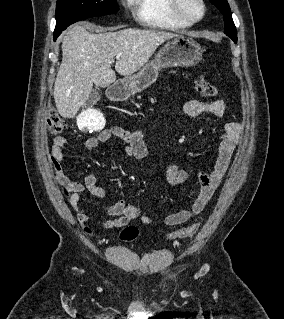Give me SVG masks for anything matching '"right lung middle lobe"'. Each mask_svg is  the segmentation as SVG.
<instances>
[{
    "instance_id": "1",
    "label": "right lung middle lobe",
    "mask_w": 284,
    "mask_h": 319,
    "mask_svg": "<svg viewBox=\"0 0 284 319\" xmlns=\"http://www.w3.org/2000/svg\"><path fill=\"white\" fill-rule=\"evenodd\" d=\"M118 10L116 0H57L54 34L59 35L74 22L113 14Z\"/></svg>"
}]
</instances>
